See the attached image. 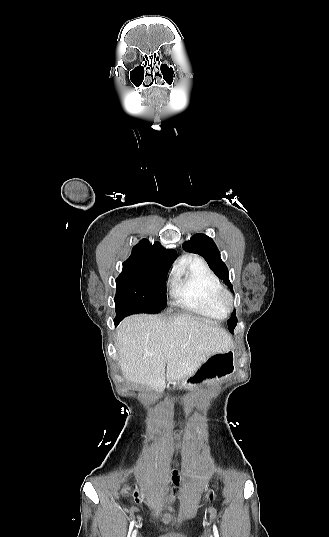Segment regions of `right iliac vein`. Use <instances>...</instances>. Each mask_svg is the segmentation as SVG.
<instances>
[{"instance_id": "obj_1", "label": "right iliac vein", "mask_w": 329, "mask_h": 537, "mask_svg": "<svg viewBox=\"0 0 329 537\" xmlns=\"http://www.w3.org/2000/svg\"><path fill=\"white\" fill-rule=\"evenodd\" d=\"M137 536V530H135L132 534V537H136Z\"/></svg>"}]
</instances>
